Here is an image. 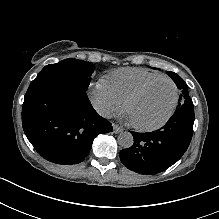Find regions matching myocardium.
Wrapping results in <instances>:
<instances>
[{
  "label": "myocardium",
  "mask_w": 219,
  "mask_h": 219,
  "mask_svg": "<svg viewBox=\"0 0 219 219\" xmlns=\"http://www.w3.org/2000/svg\"><path fill=\"white\" fill-rule=\"evenodd\" d=\"M160 81H168L173 86L174 96H173V100H172L169 108L167 109L165 115L163 116V118L159 122L151 124V125L137 124V123H134L130 119V123L134 128H136L138 130H142V131H151V130H155V129L162 127L170 119V117H171V115L176 107L177 101H178V88H177V85L175 84V82L167 76H162V77L156 78L154 80H151L150 82L144 84L142 87H140L138 90H136L133 94H131L128 97V99L126 100V102L124 103V112L129 117L128 111H129V107L131 106V104L134 101H136L138 98H140L148 89H150L152 86H154L156 83H158Z\"/></svg>",
  "instance_id": "f54148a6"
}]
</instances>
